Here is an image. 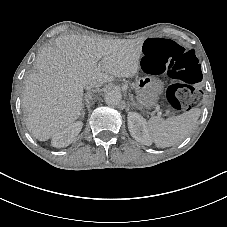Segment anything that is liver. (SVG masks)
I'll return each instance as SVG.
<instances>
[{
    "mask_svg": "<svg viewBox=\"0 0 227 227\" xmlns=\"http://www.w3.org/2000/svg\"><path fill=\"white\" fill-rule=\"evenodd\" d=\"M145 40L71 34L58 37L55 47L43 48L36 59L37 72L24 80L22 107L29 132L47 141L77 120L89 83L94 84L91 88L99 87L97 83L111 87L116 77L136 78Z\"/></svg>",
    "mask_w": 227,
    "mask_h": 227,
    "instance_id": "obj_1",
    "label": "liver"
}]
</instances>
